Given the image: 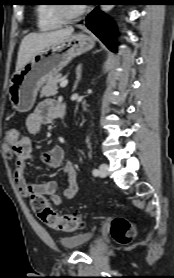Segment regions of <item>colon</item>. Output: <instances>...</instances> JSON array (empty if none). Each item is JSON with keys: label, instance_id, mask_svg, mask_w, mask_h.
Returning <instances> with one entry per match:
<instances>
[{"label": "colon", "instance_id": "obj_1", "mask_svg": "<svg viewBox=\"0 0 174 278\" xmlns=\"http://www.w3.org/2000/svg\"><path fill=\"white\" fill-rule=\"evenodd\" d=\"M20 137L21 135L17 130H10L6 135L7 145L11 147ZM7 152L11 155L10 149H7ZM30 204L35 215L54 230L71 232L85 227L82 214H58L51 209L43 195L32 194ZM110 232L118 243L127 244L135 235V227L128 220L118 217L111 221Z\"/></svg>", "mask_w": 174, "mask_h": 278}]
</instances>
